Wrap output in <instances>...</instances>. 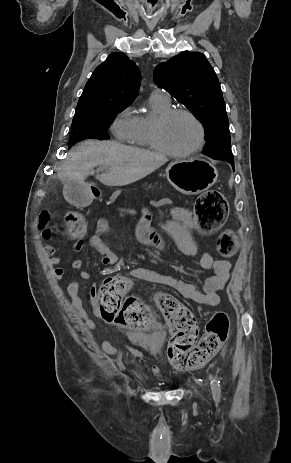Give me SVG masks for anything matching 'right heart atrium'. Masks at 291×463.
Returning a JSON list of instances; mask_svg holds the SVG:
<instances>
[{"label": "right heart atrium", "mask_w": 291, "mask_h": 463, "mask_svg": "<svg viewBox=\"0 0 291 463\" xmlns=\"http://www.w3.org/2000/svg\"><path fill=\"white\" fill-rule=\"evenodd\" d=\"M134 129L135 121L130 108H126L120 112L111 124V130L114 136L123 142H131Z\"/></svg>", "instance_id": "d8ad5b80"}]
</instances>
